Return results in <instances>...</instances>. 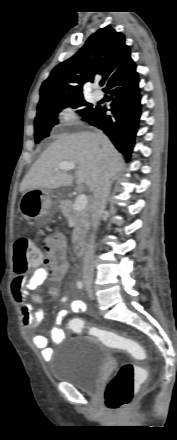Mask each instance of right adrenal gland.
<instances>
[{"label":"right adrenal gland","instance_id":"1","mask_svg":"<svg viewBox=\"0 0 177 440\" xmlns=\"http://www.w3.org/2000/svg\"><path fill=\"white\" fill-rule=\"evenodd\" d=\"M112 184H113V180L110 182V185H109V192H110V190H111V186H112Z\"/></svg>","mask_w":177,"mask_h":440}]
</instances>
